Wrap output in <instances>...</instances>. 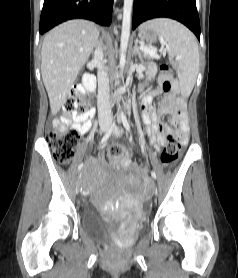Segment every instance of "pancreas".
I'll return each instance as SVG.
<instances>
[{
    "label": "pancreas",
    "instance_id": "1",
    "mask_svg": "<svg viewBox=\"0 0 238 278\" xmlns=\"http://www.w3.org/2000/svg\"><path fill=\"white\" fill-rule=\"evenodd\" d=\"M144 57H146V58H153L152 56H150L149 54H147L145 52H144Z\"/></svg>",
    "mask_w": 238,
    "mask_h": 278
}]
</instances>
